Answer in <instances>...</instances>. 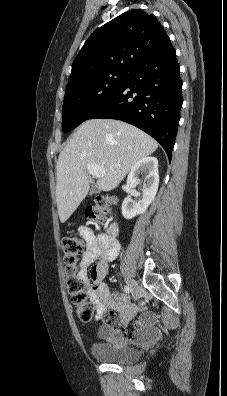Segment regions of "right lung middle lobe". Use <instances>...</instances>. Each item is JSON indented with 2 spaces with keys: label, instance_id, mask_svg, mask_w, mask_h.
Returning a JSON list of instances; mask_svg holds the SVG:
<instances>
[{
  "label": "right lung middle lobe",
  "instance_id": "obj_1",
  "mask_svg": "<svg viewBox=\"0 0 227 396\" xmlns=\"http://www.w3.org/2000/svg\"><path fill=\"white\" fill-rule=\"evenodd\" d=\"M129 71L105 72L66 88L62 113L63 131L76 128L104 105L124 85Z\"/></svg>",
  "mask_w": 227,
  "mask_h": 396
}]
</instances>
